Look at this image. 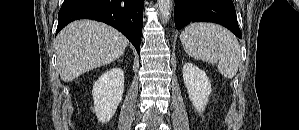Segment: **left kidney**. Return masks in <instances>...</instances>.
<instances>
[{
	"label": "left kidney",
	"mask_w": 299,
	"mask_h": 130,
	"mask_svg": "<svg viewBox=\"0 0 299 130\" xmlns=\"http://www.w3.org/2000/svg\"><path fill=\"white\" fill-rule=\"evenodd\" d=\"M183 80L193 106L198 112H203L212 91L207 75L197 66L186 63L183 66Z\"/></svg>",
	"instance_id": "1"
}]
</instances>
